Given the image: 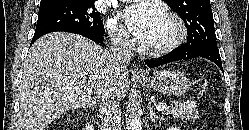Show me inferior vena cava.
Wrapping results in <instances>:
<instances>
[{
    "label": "inferior vena cava",
    "mask_w": 249,
    "mask_h": 130,
    "mask_svg": "<svg viewBox=\"0 0 249 130\" xmlns=\"http://www.w3.org/2000/svg\"><path fill=\"white\" fill-rule=\"evenodd\" d=\"M110 61L117 68H126L130 62L134 43L127 36L116 32L110 35ZM100 118L103 130H116L121 123L120 100L114 94L106 95L100 102Z\"/></svg>",
    "instance_id": "1"
}]
</instances>
